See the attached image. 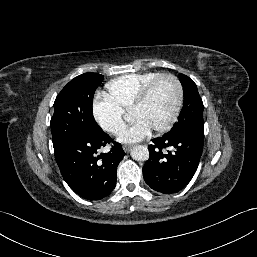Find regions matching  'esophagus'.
<instances>
[{"label":"esophagus","mask_w":257,"mask_h":257,"mask_svg":"<svg viewBox=\"0 0 257 257\" xmlns=\"http://www.w3.org/2000/svg\"><path fill=\"white\" fill-rule=\"evenodd\" d=\"M123 149L125 152H129L130 149H131V146L130 145H123Z\"/></svg>","instance_id":"1"}]
</instances>
